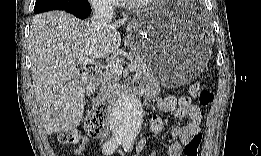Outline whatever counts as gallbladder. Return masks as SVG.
Returning a JSON list of instances; mask_svg holds the SVG:
<instances>
[{
  "mask_svg": "<svg viewBox=\"0 0 261 156\" xmlns=\"http://www.w3.org/2000/svg\"><path fill=\"white\" fill-rule=\"evenodd\" d=\"M72 83H68L65 86L70 88H64L67 90H61L58 94L57 103L51 106L52 112L50 113L51 127H54L57 132H66L74 129L83 118L85 109L84 91L80 86L75 83H81L80 80H71Z\"/></svg>",
  "mask_w": 261,
  "mask_h": 156,
  "instance_id": "1",
  "label": "gallbladder"
}]
</instances>
